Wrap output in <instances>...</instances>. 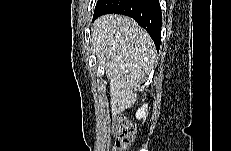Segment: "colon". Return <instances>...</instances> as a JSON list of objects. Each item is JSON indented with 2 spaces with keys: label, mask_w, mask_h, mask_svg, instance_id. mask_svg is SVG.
<instances>
[{
  "label": "colon",
  "mask_w": 231,
  "mask_h": 151,
  "mask_svg": "<svg viewBox=\"0 0 231 151\" xmlns=\"http://www.w3.org/2000/svg\"><path fill=\"white\" fill-rule=\"evenodd\" d=\"M116 141L114 151L127 150L135 141V128L122 115H117L114 121Z\"/></svg>",
  "instance_id": "colon-1"
}]
</instances>
